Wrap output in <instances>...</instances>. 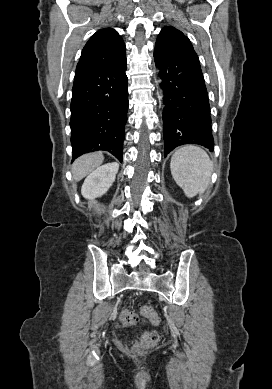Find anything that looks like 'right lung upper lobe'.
I'll return each instance as SVG.
<instances>
[{
  "mask_svg": "<svg viewBox=\"0 0 272 389\" xmlns=\"http://www.w3.org/2000/svg\"><path fill=\"white\" fill-rule=\"evenodd\" d=\"M125 44L120 35L111 28L97 31L84 46L76 73L112 63L125 55Z\"/></svg>",
  "mask_w": 272,
  "mask_h": 389,
  "instance_id": "cb5924a9",
  "label": "right lung upper lobe"
}]
</instances>
